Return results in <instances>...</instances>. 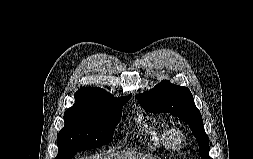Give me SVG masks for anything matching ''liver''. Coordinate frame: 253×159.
Here are the masks:
<instances>
[{
  "label": "liver",
  "instance_id": "1",
  "mask_svg": "<svg viewBox=\"0 0 253 159\" xmlns=\"http://www.w3.org/2000/svg\"><path fill=\"white\" fill-rule=\"evenodd\" d=\"M153 159L152 157L145 155L143 153H138L136 151H121V152H116L112 153L108 156H105L104 158L99 157V156H93L90 158H85V159Z\"/></svg>",
  "mask_w": 253,
  "mask_h": 159
}]
</instances>
